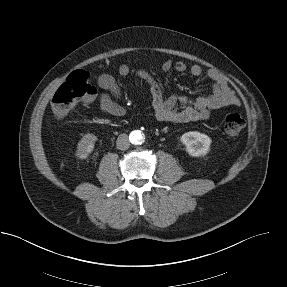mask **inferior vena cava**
Returning a JSON list of instances; mask_svg holds the SVG:
<instances>
[{
  "label": "inferior vena cava",
  "mask_w": 287,
  "mask_h": 287,
  "mask_svg": "<svg viewBox=\"0 0 287 287\" xmlns=\"http://www.w3.org/2000/svg\"><path fill=\"white\" fill-rule=\"evenodd\" d=\"M116 146L120 150H127L130 146L128 136L126 134L119 135L116 141Z\"/></svg>",
  "instance_id": "inferior-vena-cava-1"
}]
</instances>
